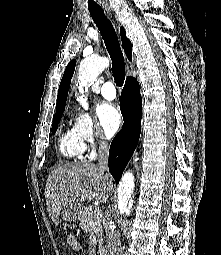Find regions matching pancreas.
Here are the masks:
<instances>
[{"label": "pancreas", "instance_id": "pancreas-1", "mask_svg": "<svg viewBox=\"0 0 221 255\" xmlns=\"http://www.w3.org/2000/svg\"><path fill=\"white\" fill-rule=\"evenodd\" d=\"M101 212L97 210L94 206H89L85 208L83 215L80 219V227L89 232L90 234H102V224H101ZM101 244V241H99Z\"/></svg>", "mask_w": 221, "mask_h": 255}]
</instances>
